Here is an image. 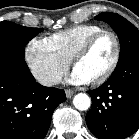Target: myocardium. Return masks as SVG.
<instances>
[{
	"instance_id": "myocardium-1",
	"label": "myocardium",
	"mask_w": 139,
	"mask_h": 139,
	"mask_svg": "<svg viewBox=\"0 0 139 139\" xmlns=\"http://www.w3.org/2000/svg\"><path fill=\"white\" fill-rule=\"evenodd\" d=\"M103 36H110L113 39L114 42V47H115V51H114V56L112 58V61L110 63V65L108 66V68L106 69V71L97 79L93 80L92 83L94 84H102L104 82H106L116 71L119 62H120V58H121V43H120V39L117 36V34L111 30H101L97 33H95L94 35H92L91 37H89L75 52L73 58H72V65L75 68L77 62L83 57L85 56L91 49L92 47L95 45V43L102 38Z\"/></svg>"
}]
</instances>
